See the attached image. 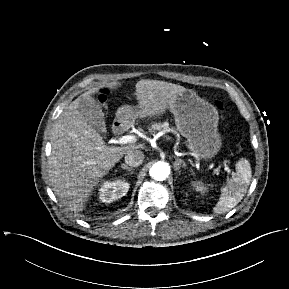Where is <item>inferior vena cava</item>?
<instances>
[{"label": "inferior vena cava", "mask_w": 289, "mask_h": 289, "mask_svg": "<svg viewBox=\"0 0 289 289\" xmlns=\"http://www.w3.org/2000/svg\"><path fill=\"white\" fill-rule=\"evenodd\" d=\"M144 154L141 150L129 151L125 155V163L132 167H137L142 164Z\"/></svg>", "instance_id": "602c4592"}]
</instances>
